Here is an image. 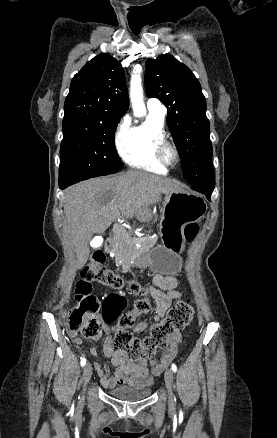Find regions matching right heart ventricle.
I'll return each instance as SVG.
<instances>
[{
	"label": "right heart ventricle",
	"mask_w": 277,
	"mask_h": 438,
	"mask_svg": "<svg viewBox=\"0 0 277 438\" xmlns=\"http://www.w3.org/2000/svg\"><path fill=\"white\" fill-rule=\"evenodd\" d=\"M135 116L140 115L136 114ZM165 139L163 119L147 113L142 123L127 127L120 142L121 156L133 168L164 175L167 173V169L158 162L155 149Z\"/></svg>",
	"instance_id": "right-heart-ventricle-1"
}]
</instances>
